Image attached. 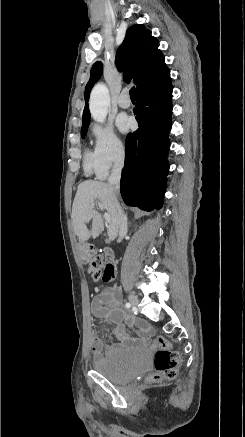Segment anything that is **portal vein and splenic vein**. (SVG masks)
<instances>
[{
  "label": "portal vein and splenic vein",
  "instance_id": "1",
  "mask_svg": "<svg viewBox=\"0 0 245 437\" xmlns=\"http://www.w3.org/2000/svg\"><path fill=\"white\" fill-rule=\"evenodd\" d=\"M98 206H99V208L101 209V210H103V206H102V204L100 203V202H98ZM104 219H105V221L106 222H110V216H109V214H107V213H105L104 214Z\"/></svg>",
  "mask_w": 245,
  "mask_h": 437
}]
</instances>
